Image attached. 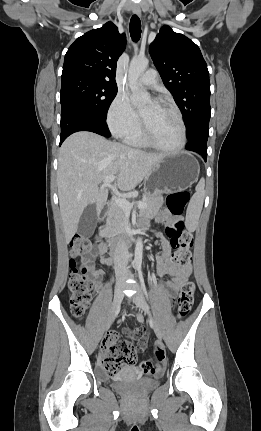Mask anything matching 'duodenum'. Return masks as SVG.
<instances>
[{"instance_id": "obj_1", "label": "duodenum", "mask_w": 261, "mask_h": 431, "mask_svg": "<svg viewBox=\"0 0 261 431\" xmlns=\"http://www.w3.org/2000/svg\"><path fill=\"white\" fill-rule=\"evenodd\" d=\"M136 231L134 229H130L128 230L124 237L122 239H115L113 241H110L108 243V248L110 251L111 255H114L117 253L119 247H121L124 244H130L134 241V237H135ZM111 259V264L113 262L112 258Z\"/></svg>"}]
</instances>
